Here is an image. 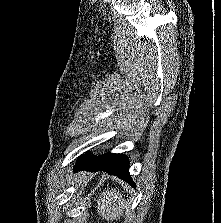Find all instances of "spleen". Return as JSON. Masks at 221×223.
<instances>
[{
	"label": "spleen",
	"instance_id": "1",
	"mask_svg": "<svg viewBox=\"0 0 221 223\" xmlns=\"http://www.w3.org/2000/svg\"><path fill=\"white\" fill-rule=\"evenodd\" d=\"M115 189L106 190L97 199V211L103 220L113 221L120 218L125 202Z\"/></svg>",
	"mask_w": 221,
	"mask_h": 223
}]
</instances>
